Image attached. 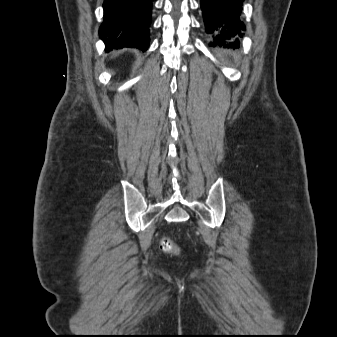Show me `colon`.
Here are the masks:
<instances>
[{
	"mask_svg": "<svg viewBox=\"0 0 337 337\" xmlns=\"http://www.w3.org/2000/svg\"><path fill=\"white\" fill-rule=\"evenodd\" d=\"M160 248L164 252L172 253L175 252L176 245L171 238L165 236L160 240Z\"/></svg>",
	"mask_w": 337,
	"mask_h": 337,
	"instance_id": "colon-1",
	"label": "colon"
}]
</instances>
